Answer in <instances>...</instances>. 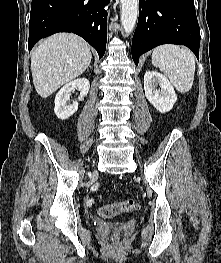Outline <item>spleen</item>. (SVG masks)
<instances>
[{"mask_svg": "<svg viewBox=\"0 0 221 263\" xmlns=\"http://www.w3.org/2000/svg\"><path fill=\"white\" fill-rule=\"evenodd\" d=\"M152 64L169 78L177 91L186 93L192 88L195 56L189 49L172 44L160 45L153 50Z\"/></svg>", "mask_w": 221, "mask_h": 263, "instance_id": "spleen-1", "label": "spleen"}]
</instances>
